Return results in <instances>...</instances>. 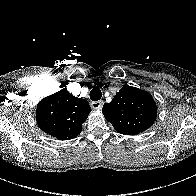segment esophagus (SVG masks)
I'll use <instances>...</instances> for the list:
<instances>
[{"mask_svg":"<svg viewBox=\"0 0 196 196\" xmlns=\"http://www.w3.org/2000/svg\"><path fill=\"white\" fill-rule=\"evenodd\" d=\"M91 107L94 110H101L103 107V101H94L91 103Z\"/></svg>","mask_w":196,"mask_h":196,"instance_id":"obj_1","label":"esophagus"}]
</instances>
